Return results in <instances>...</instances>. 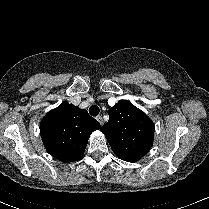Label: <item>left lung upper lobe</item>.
<instances>
[{
	"mask_svg": "<svg viewBox=\"0 0 209 209\" xmlns=\"http://www.w3.org/2000/svg\"><path fill=\"white\" fill-rule=\"evenodd\" d=\"M101 131L113 152L128 162L141 159L153 144V122L126 100H120L109 109V120L101 127Z\"/></svg>",
	"mask_w": 209,
	"mask_h": 209,
	"instance_id": "obj_1",
	"label": "left lung upper lobe"
}]
</instances>
